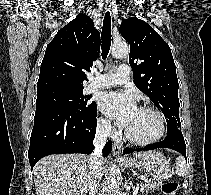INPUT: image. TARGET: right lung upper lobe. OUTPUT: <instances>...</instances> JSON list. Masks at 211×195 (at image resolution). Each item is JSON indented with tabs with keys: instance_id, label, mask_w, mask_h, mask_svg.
<instances>
[{
	"instance_id": "cb5924a9",
	"label": "right lung upper lobe",
	"mask_w": 211,
	"mask_h": 195,
	"mask_svg": "<svg viewBox=\"0 0 211 195\" xmlns=\"http://www.w3.org/2000/svg\"><path fill=\"white\" fill-rule=\"evenodd\" d=\"M100 52V33L93 20L79 14L58 31L46 48L37 83V93L49 89H83Z\"/></svg>"
}]
</instances>
